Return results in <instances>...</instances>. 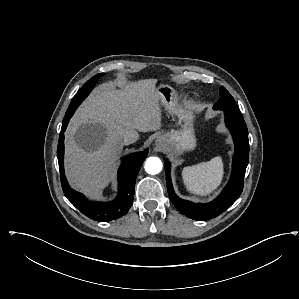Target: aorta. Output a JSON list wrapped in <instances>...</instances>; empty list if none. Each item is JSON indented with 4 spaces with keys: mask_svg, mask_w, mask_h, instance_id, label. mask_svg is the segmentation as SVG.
I'll return each mask as SVG.
<instances>
[{
    "mask_svg": "<svg viewBox=\"0 0 299 299\" xmlns=\"http://www.w3.org/2000/svg\"><path fill=\"white\" fill-rule=\"evenodd\" d=\"M162 161L158 157H149L147 158L144 168L148 174L156 175L162 170Z\"/></svg>",
    "mask_w": 299,
    "mask_h": 299,
    "instance_id": "1",
    "label": "aorta"
}]
</instances>
